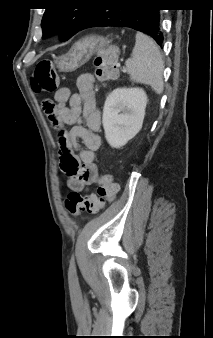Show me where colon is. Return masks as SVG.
I'll return each mask as SVG.
<instances>
[{
  "label": "colon",
  "mask_w": 213,
  "mask_h": 338,
  "mask_svg": "<svg viewBox=\"0 0 213 338\" xmlns=\"http://www.w3.org/2000/svg\"><path fill=\"white\" fill-rule=\"evenodd\" d=\"M118 48L116 45H108L101 49L94 61L95 75L98 80L106 81L114 77L117 73ZM30 84L36 93H52L58 89L59 79L50 60L40 61L30 77ZM51 120L56 123V119L50 115L51 106L44 107ZM63 132L58 133L61 141ZM59 154L61 157V169L67 175H73L81 165L73 156L71 150L66 146H60ZM118 191V185L109 175H103L97 185L96 193L81 195L76 191H71L65 200V206L69 214L78 216L82 213L97 214L104 205L105 201L112 200Z\"/></svg>",
  "instance_id": "5ec220e1"
}]
</instances>
